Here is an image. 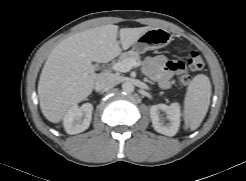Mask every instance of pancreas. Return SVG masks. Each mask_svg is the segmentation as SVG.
I'll use <instances>...</instances> for the list:
<instances>
[{"instance_id": "cf45deb5", "label": "pancreas", "mask_w": 246, "mask_h": 181, "mask_svg": "<svg viewBox=\"0 0 246 181\" xmlns=\"http://www.w3.org/2000/svg\"><path fill=\"white\" fill-rule=\"evenodd\" d=\"M128 59H132V60H135L136 62H139L140 56L137 52L131 50V51L122 53L121 56L119 57V62H122Z\"/></svg>"}]
</instances>
